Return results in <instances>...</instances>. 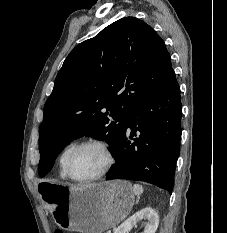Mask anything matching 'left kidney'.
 <instances>
[{
    "mask_svg": "<svg viewBox=\"0 0 227 233\" xmlns=\"http://www.w3.org/2000/svg\"><path fill=\"white\" fill-rule=\"evenodd\" d=\"M146 220L143 233H155L159 224L158 214L150 207L144 208L122 223L114 233H129L137 222Z\"/></svg>",
    "mask_w": 227,
    "mask_h": 233,
    "instance_id": "5707ae66",
    "label": "left kidney"
}]
</instances>
